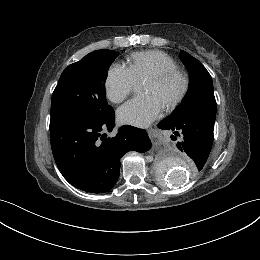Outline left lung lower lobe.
Returning <instances> with one entry per match:
<instances>
[{"label": "left lung lower lobe", "instance_id": "left-lung-lower-lobe-1", "mask_svg": "<svg viewBox=\"0 0 260 260\" xmlns=\"http://www.w3.org/2000/svg\"><path fill=\"white\" fill-rule=\"evenodd\" d=\"M160 129L172 130L180 139L177 148L186 153L199 171L205 165L213 144L214 122L194 115L175 119L168 116L158 125ZM172 139H177L171 136Z\"/></svg>", "mask_w": 260, "mask_h": 260}]
</instances>
